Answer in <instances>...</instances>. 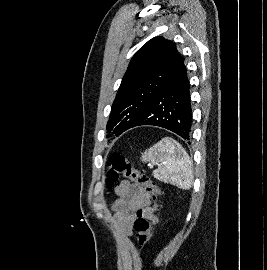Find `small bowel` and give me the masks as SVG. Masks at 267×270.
Here are the masks:
<instances>
[{"label":"small bowel","mask_w":267,"mask_h":270,"mask_svg":"<svg viewBox=\"0 0 267 270\" xmlns=\"http://www.w3.org/2000/svg\"><path fill=\"white\" fill-rule=\"evenodd\" d=\"M115 193L117 199L112 205L114 221L124 238L133 236L134 223L139 215L157 221L150 195L143 188L124 180L115 189Z\"/></svg>","instance_id":"obj_1"}]
</instances>
